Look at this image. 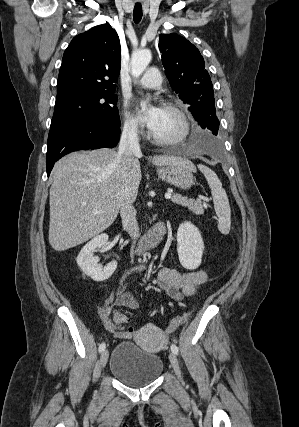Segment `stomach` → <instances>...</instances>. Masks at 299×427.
<instances>
[{
	"label": "stomach",
	"instance_id": "stomach-1",
	"mask_svg": "<svg viewBox=\"0 0 299 427\" xmlns=\"http://www.w3.org/2000/svg\"><path fill=\"white\" fill-rule=\"evenodd\" d=\"M157 174L166 183L183 190L189 189L194 184L192 170L185 167H161L157 169Z\"/></svg>",
	"mask_w": 299,
	"mask_h": 427
}]
</instances>
